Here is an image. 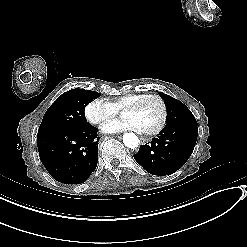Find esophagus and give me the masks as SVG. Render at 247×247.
Here are the masks:
<instances>
[{
	"instance_id": "34e87169",
	"label": "esophagus",
	"mask_w": 247,
	"mask_h": 247,
	"mask_svg": "<svg viewBox=\"0 0 247 247\" xmlns=\"http://www.w3.org/2000/svg\"><path fill=\"white\" fill-rule=\"evenodd\" d=\"M140 141H141V144H142V145H145L146 142H147L143 137H140Z\"/></svg>"
}]
</instances>
